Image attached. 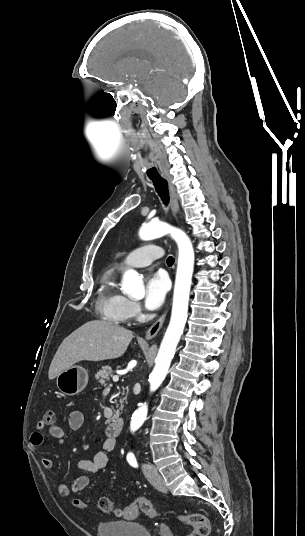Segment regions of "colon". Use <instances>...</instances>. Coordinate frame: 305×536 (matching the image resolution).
Masks as SVG:
<instances>
[{
  "mask_svg": "<svg viewBox=\"0 0 305 536\" xmlns=\"http://www.w3.org/2000/svg\"><path fill=\"white\" fill-rule=\"evenodd\" d=\"M54 412L47 413L44 417V422L47 424H53ZM72 506L74 509L80 512H86V503H82L79 497L72 499ZM100 511L103 513H114L118 518L132 519L137 516L139 512L145 514L148 517L157 518L160 516L159 511L154 505L145 497L138 496L133 502L127 506L115 507L113 501L110 498L103 497L99 501ZM178 521L183 524L193 526V533L190 536H209L211 532V526L207 517L201 514H182L178 517Z\"/></svg>",
  "mask_w": 305,
  "mask_h": 536,
  "instance_id": "1",
  "label": "colon"
}]
</instances>
